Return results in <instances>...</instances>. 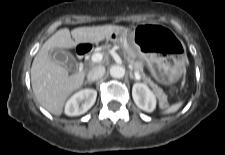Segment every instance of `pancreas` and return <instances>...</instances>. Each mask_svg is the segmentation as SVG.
<instances>
[{
    "label": "pancreas",
    "mask_w": 225,
    "mask_h": 155,
    "mask_svg": "<svg viewBox=\"0 0 225 155\" xmlns=\"http://www.w3.org/2000/svg\"><path fill=\"white\" fill-rule=\"evenodd\" d=\"M109 48V45L102 46L103 51H106ZM128 60L132 66V70L140 74V78L143 80V82L149 84L152 88L155 89L161 105L167 106V96L163 93L162 89H160L149 77L146 76L143 71V62L141 60H135L134 58H128Z\"/></svg>",
    "instance_id": "cf45deb5"
}]
</instances>
